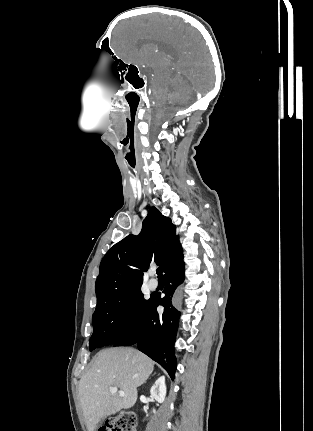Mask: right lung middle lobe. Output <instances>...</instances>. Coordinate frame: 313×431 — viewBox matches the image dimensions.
Listing matches in <instances>:
<instances>
[{
	"mask_svg": "<svg viewBox=\"0 0 313 431\" xmlns=\"http://www.w3.org/2000/svg\"><path fill=\"white\" fill-rule=\"evenodd\" d=\"M149 301L144 299L139 287L98 302L93 314L90 351L113 344L124 336L138 322Z\"/></svg>",
	"mask_w": 313,
	"mask_h": 431,
	"instance_id": "obj_1",
	"label": "right lung middle lobe"
}]
</instances>
